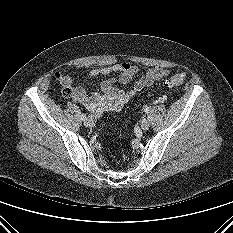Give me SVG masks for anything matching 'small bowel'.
Masks as SVG:
<instances>
[{
	"instance_id": "small-bowel-1",
	"label": "small bowel",
	"mask_w": 233,
	"mask_h": 233,
	"mask_svg": "<svg viewBox=\"0 0 233 233\" xmlns=\"http://www.w3.org/2000/svg\"><path fill=\"white\" fill-rule=\"evenodd\" d=\"M118 73V78L106 79L101 83V93H87L82 87L75 86L69 77H63L62 83L71 90V97L83 104L96 116L108 111H119L139 91L152 86L164 79L170 73L167 68L157 67L141 73L139 68L129 63H118L111 66L99 67L90 71L91 77ZM116 80L121 84L132 83L130 89L118 88Z\"/></svg>"
}]
</instances>
